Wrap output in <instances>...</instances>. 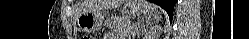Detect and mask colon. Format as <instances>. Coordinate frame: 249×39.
Masks as SVG:
<instances>
[{
  "instance_id": "obj_1",
  "label": "colon",
  "mask_w": 249,
  "mask_h": 39,
  "mask_svg": "<svg viewBox=\"0 0 249 39\" xmlns=\"http://www.w3.org/2000/svg\"><path fill=\"white\" fill-rule=\"evenodd\" d=\"M83 39H89V37L88 36H84Z\"/></svg>"
}]
</instances>
